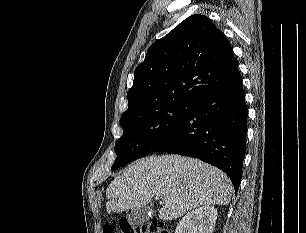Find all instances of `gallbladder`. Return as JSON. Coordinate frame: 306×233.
Listing matches in <instances>:
<instances>
[{"instance_id":"1","label":"gallbladder","mask_w":306,"mask_h":233,"mask_svg":"<svg viewBox=\"0 0 306 233\" xmlns=\"http://www.w3.org/2000/svg\"><path fill=\"white\" fill-rule=\"evenodd\" d=\"M152 212L146 206L136 207L127 214V219L133 227H137L145 223Z\"/></svg>"}]
</instances>
